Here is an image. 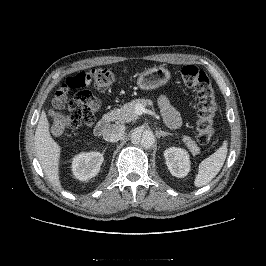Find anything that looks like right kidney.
<instances>
[{
	"label": "right kidney",
	"instance_id": "1",
	"mask_svg": "<svg viewBox=\"0 0 266 266\" xmlns=\"http://www.w3.org/2000/svg\"><path fill=\"white\" fill-rule=\"evenodd\" d=\"M103 161L100 152L80 153L72 160V172L81 181L89 180L98 174Z\"/></svg>",
	"mask_w": 266,
	"mask_h": 266
}]
</instances>
